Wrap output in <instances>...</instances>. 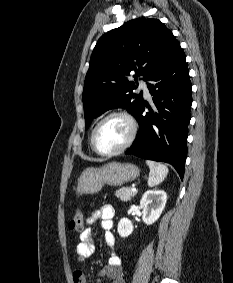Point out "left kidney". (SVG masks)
Listing matches in <instances>:
<instances>
[{"label": "left kidney", "mask_w": 233, "mask_h": 283, "mask_svg": "<svg viewBox=\"0 0 233 283\" xmlns=\"http://www.w3.org/2000/svg\"><path fill=\"white\" fill-rule=\"evenodd\" d=\"M167 201V195L163 190H149L144 193L140 207L142 209V219L147 225L153 224L162 214ZM133 232L132 222L123 218L118 223V233L121 237H127Z\"/></svg>", "instance_id": "5707ae66"}]
</instances>
